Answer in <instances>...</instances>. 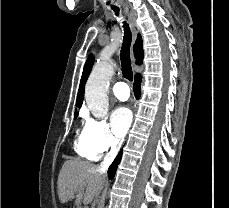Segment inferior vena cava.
Wrapping results in <instances>:
<instances>
[{"label":"inferior vena cava","mask_w":229,"mask_h":208,"mask_svg":"<svg viewBox=\"0 0 229 208\" xmlns=\"http://www.w3.org/2000/svg\"><path fill=\"white\" fill-rule=\"evenodd\" d=\"M116 154H113V152H109V154H107V156H105L104 158V162H103V166H101V168H98V172H100V174H103V178L105 180V170H107V168H105V166H107V164H111V162H113L114 158H115ZM104 170V172H103Z\"/></svg>","instance_id":"602c4592"}]
</instances>
